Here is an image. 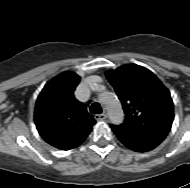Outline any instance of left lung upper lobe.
Listing matches in <instances>:
<instances>
[{"mask_svg":"<svg viewBox=\"0 0 190 188\" xmlns=\"http://www.w3.org/2000/svg\"><path fill=\"white\" fill-rule=\"evenodd\" d=\"M120 99L124 125L152 132L168 133L173 121V103L162 82L148 69L123 65L106 73Z\"/></svg>","mask_w":190,"mask_h":188,"instance_id":"5c2ea615","label":"left lung upper lobe"}]
</instances>
